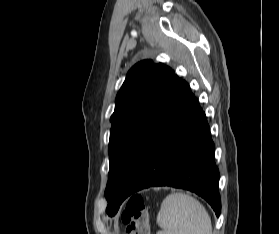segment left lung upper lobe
<instances>
[{
  "instance_id": "5c2ea615",
  "label": "left lung upper lobe",
  "mask_w": 279,
  "mask_h": 234,
  "mask_svg": "<svg viewBox=\"0 0 279 234\" xmlns=\"http://www.w3.org/2000/svg\"><path fill=\"white\" fill-rule=\"evenodd\" d=\"M174 76V71L162 63L144 60L129 70L117 94L110 119V167L105 190L109 216H114L123 202L120 194L138 148Z\"/></svg>"
}]
</instances>
